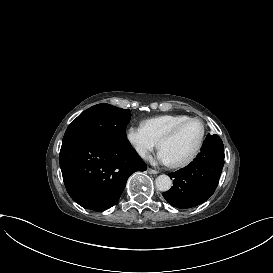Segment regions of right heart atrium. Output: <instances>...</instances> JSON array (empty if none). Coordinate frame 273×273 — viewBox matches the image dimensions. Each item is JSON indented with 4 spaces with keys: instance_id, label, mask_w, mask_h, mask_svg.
Instances as JSON below:
<instances>
[{
    "instance_id": "right-heart-atrium-1",
    "label": "right heart atrium",
    "mask_w": 273,
    "mask_h": 273,
    "mask_svg": "<svg viewBox=\"0 0 273 273\" xmlns=\"http://www.w3.org/2000/svg\"><path fill=\"white\" fill-rule=\"evenodd\" d=\"M127 138L136 153L143 159L148 158L151 152L158 146V141L152 137L143 124L131 125L127 130Z\"/></svg>"
}]
</instances>
